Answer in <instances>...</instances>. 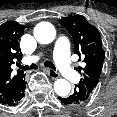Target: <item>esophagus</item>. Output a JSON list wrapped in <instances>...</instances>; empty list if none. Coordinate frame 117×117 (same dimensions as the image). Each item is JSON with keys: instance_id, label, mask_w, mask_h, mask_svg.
<instances>
[{"instance_id": "esophagus-1", "label": "esophagus", "mask_w": 117, "mask_h": 117, "mask_svg": "<svg viewBox=\"0 0 117 117\" xmlns=\"http://www.w3.org/2000/svg\"><path fill=\"white\" fill-rule=\"evenodd\" d=\"M48 75L52 78V79H57L59 77V74L54 71L53 69L48 68L47 69Z\"/></svg>"}]
</instances>
